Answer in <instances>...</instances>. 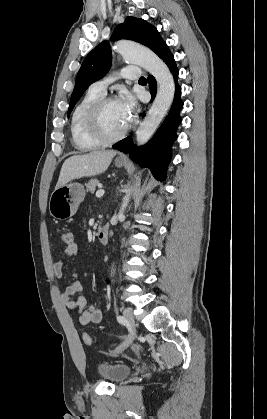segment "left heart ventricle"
<instances>
[{
	"instance_id": "left-heart-ventricle-1",
	"label": "left heart ventricle",
	"mask_w": 267,
	"mask_h": 419,
	"mask_svg": "<svg viewBox=\"0 0 267 419\" xmlns=\"http://www.w3.org/2000/svg\"><path fill=\"white\" fill-rule=\"evenodd\" d=\"M101 122L104 131L108 135H115L119 133L129 121L125 118L119 101H115L105 107L102 113Z\"/></svg>"
}]
</instances>
